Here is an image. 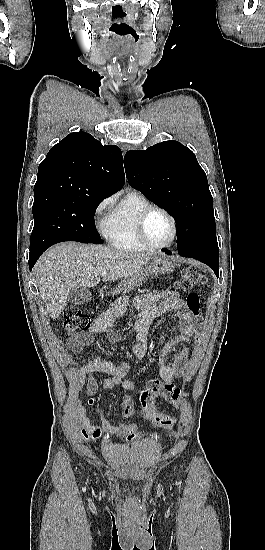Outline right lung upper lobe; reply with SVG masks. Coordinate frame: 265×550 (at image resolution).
Masks as SVG:
<instances>
[{
    "mask_svg": "<svg viewBox=\"0 0 265 550\" xmlns=\"http://www.w3.org/2000/svg\"><path fill=\"white\" fill-rule=\"evenodd\" d=\"M125 182L122 152L85 132L70 133L40 163L34 196L108 197Z\"/></svg>",
    "mask_w": 265,
    "mask_h": 550,
    "instance_id": "cb5924a9",
    "label": "right lung upper lobe"
}]
</instances>
